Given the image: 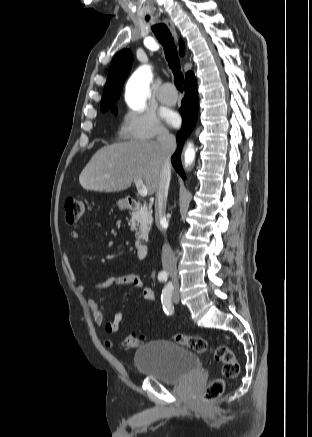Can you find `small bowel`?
Here are the masks:
<instances>
[{
    "label": "small bowel",
    "instance_id": "obj_1",
    "mask_svg": "<svg viewBox=\"0 0 312 437\" xmlns=\"http://www.w3.org/2000/svg\"><path fill=\"white\" fill-rule=\"evenodd\" d=\"M80 236L81 233L78 231L71 232L70 240L67 241L66 247H73L75 245V240ZM112 245L113 244L111 242H107L108 247H112ZM114 286H130L134 289H139L141 290L144 299L149 302H152L155 298L153 290L150 287L144 285L142 277L138 274H127L119 277H110L100 283L95 284L92 287L86 285H78L77 289L80 293L86 295L92 290H103ZM86 302L91 310L94 322L98 326H103L106 333L108 334H115L119 331L123 319V315L121 312L115 313L109 321H105L104 315L100 310L97 302L91 297H86ZM103 343L106 347L109 348L114 346V343L109 339L104 340Z\"/></svg>",
    "mask_w": 312,
    "mask_h": 437
}]
</instances>
